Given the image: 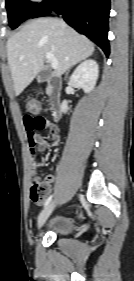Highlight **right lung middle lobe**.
<instances>
[{"label":"right lung middle lobe","instance_id":"1","mask_svg":"<svg viewBox=\"0 0 134 281\" xmlns=\"http://www.w3.org/2000/svg\"><path fill=\"white\" fill-rule=\"evenodd\" d=\"M37 4L28 0H6L9 23L12 29L18 27L24 20L30 18Z\"/></svg>","mask_w":134,"mask_h":281}]
</instances>
